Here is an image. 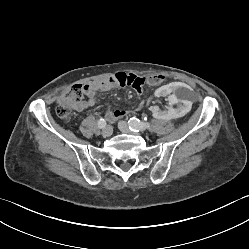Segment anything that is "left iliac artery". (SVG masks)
<instances>
[{"label": "left iliac artery", "mask_w": 249, "mask_h": 249, "mask_svg": "<svg viewBox=\"0 0 249 249\" xmlns=\"http://www.w3.org/2000/svg\"><path fill=\"white\" fill-rule=\"evenodd\" d=\"M128 124L130 130L134 132L143 131L150 127V124L148 122H141L139 119L134 117L128 121Z\"/></svg>", "instance_id": "1"}]
</instances>
